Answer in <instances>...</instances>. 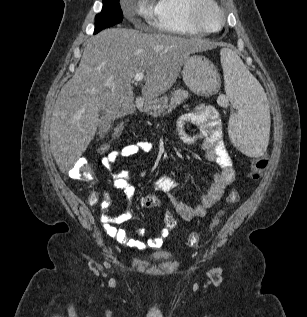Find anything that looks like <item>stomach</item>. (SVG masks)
<instances>
[{"label":"stomach","instance_id":"obj_1","mask_svg":"<svg viewBox=\"0 0 307 317\" xmlns=\"http://www.w3.org/2000/svg\"><path fill=\"white\" fill-rule=\"evenodd\" d=\"M182 76L189 89L200 95L215 93L220 85L219 75L212 62L202 55H189L183 62ZM167 99L147 101L145 111L155 117L161 115V107Z\"/></svg>","mask_w":307,"mask_h":317}]
</instances>
